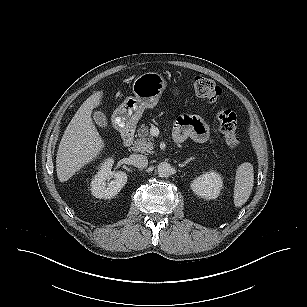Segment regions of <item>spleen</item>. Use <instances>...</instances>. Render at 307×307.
<instances>
[{
    "label": "spleen",
    "instance_id": "spleen-1",
    "mask_svg": "<svg viewBox=\"0 0 307 307\" xmlns=\"http://www.w3.org/2000/svg\"><path fill=\"white\" fill-rule=\"evenodd\" d=\"M254 184L253 165L249 162L242 163L236 170L234 186V205L241 207L250 197Z\"/></svg>",
    "mask_w": 307,
    "mask_h": 307
}]
</instances>
